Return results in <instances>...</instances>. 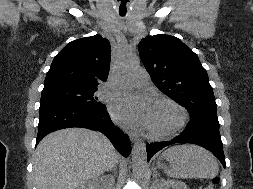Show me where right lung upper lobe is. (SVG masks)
I'll return each instance as SVG.
<instances>
[{
  "label": "right lung upper lobe",
  "instance_id": "cb5924a9",
  "mask_svg": "<svg viewBox=\"0 0 253 189\" xmlns=\"http://www.w3.org/2000/svg\"><path fill=\"white\" fill-rule=\"evenodd\" d=\"M110 59L111 47L106 38L95 35L74 40L53 59L44 81V89L97 88L100 82L107 80Z\"/></svg>",
  "mask_w": 253,
  "mask_h": 189
}]
</instances>
